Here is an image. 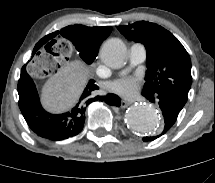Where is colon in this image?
<instances>
[{
    "label": "colon",
    "mask_w": 215,
    "mask_h": 183,
    "mask_svg": "<svg viewBox=\"0 0 215 183\" xmlns=\"http://www.w3.org/2000/svg\"><path fill=\"white\" fill-rule=\"evenodd\" d=\"M73 42L65 34H56L36 50L28 63V72L36 80L50 79L57 72L68 68Z\"/></svg>",
    "instance_id": "colon-1"
}]
</instances>
